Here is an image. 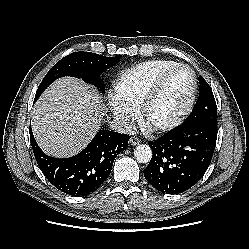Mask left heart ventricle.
Returning <instances> with one entry per match:
<instances>
[{"label":"left heart ventricle","instance_id":"b2bd125f","mask_svg":"<svg viewBox=\"0 0 249 249\" xmlns=\"http://www.w3.org/2000/svg\"><path fill=\"white\" fill-rule=\"evenodd\" d=\"M190 86L191 75L188 70L179 69L170 75L148 111L147 123L155 126L173 119L182 110Z\"/></svg>","mask_w":249,"mask_h":249}]
</instances>
